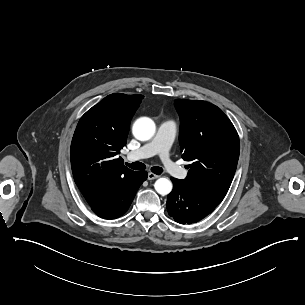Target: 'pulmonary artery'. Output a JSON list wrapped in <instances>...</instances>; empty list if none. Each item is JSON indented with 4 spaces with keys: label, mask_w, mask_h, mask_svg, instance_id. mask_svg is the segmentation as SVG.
I'll return each instance as SVG.
<instances>
[{
    "label": "pulmonary artery",
    "mask_w": 305,
    "mask_h": 305,
    "mask_svg": "<svg viewBox=\"0 0 305 305\" xmlns=\"http://www.w3.org/2000/svg\"><path fill=\"white\" fill-rule=\"evenodd\" d=\"M175 132L176 125L173 121L161 122L155 135L140 149L131 151L129 158L133 161H140L146 155H158L162 159L161 165L164 171L169 172L176 179L184 178L186 175L185 170L178 168L176 162L169 158V150L173 143Z\"/></svg>",
    "instance_id": "obj_1"
}]
</instances>
